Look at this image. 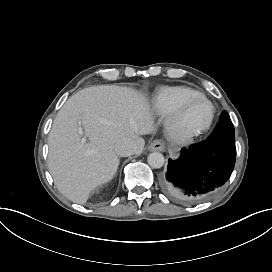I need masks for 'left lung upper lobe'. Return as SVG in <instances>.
Listing matches in <instances>:
<instances>
[{"mask_svg": "<svg viewBox=\"0 0 272 272\" xmlns=\"http://www.w3.org/2000/svg\"><path fill=\"white\" fill-rule=\"evenodd\" d=\"M207 141H215L230 145H235V132L232 121L226 111L220 115L219 124Z\"/></svg>", "mask_w": 272, "mask_h": 272, "instance_id": "left-lung-upper-lobe-1", "label": "left lung upper lobe"}]
</instances>
